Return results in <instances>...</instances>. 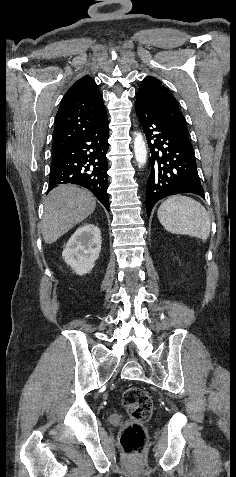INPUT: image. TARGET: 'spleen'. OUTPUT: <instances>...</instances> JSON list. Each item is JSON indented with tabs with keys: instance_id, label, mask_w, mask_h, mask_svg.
<instances>
[{
	"instance_id": "obj_1",
	"label": "spleen",
	"mask_w": 236,
	"mask_h": 477,
	"mask_svg": "<svg viewBox=\"0 0 236 477\" xmlns=\"http://www.w3.org/2000/svg\"><path fill=\"white\" fill-rule=\"evenodd\" d=\"M162 226L173 234H187L206 240L211 222L204 206L187 196H172L157 211Z\"/></svg>"
}]
</instances>
